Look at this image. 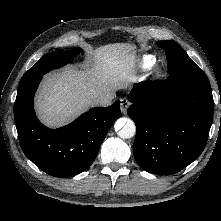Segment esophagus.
<instances>
[{
  "label": "esophagus",
  "instance_id": "obj_1",
  "mask_svg": "<svg viewBox=\"0 0 221 221\" xmlns=\"http://www.w3.org/2000/svg\"><path fill=\"white\" fill-rule=\"evenodd\" d=\"M120 102H121L120 103L121 112L125 115L130 106V101L126 98H122Z\"/></svg>",
  "mask_w": 221,
  "mask_h": 221
}]
</instances>
